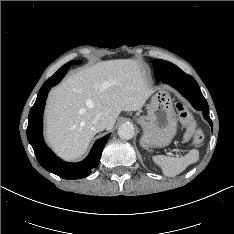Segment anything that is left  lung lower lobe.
Masks as SVG:
<instances>
[{
  "mask_svg": "<svg viewBox=\"0 0 234 234\" xmlns=\"http://www.w3.org/2000/svg\"><path fill=\"white\" fill-rule=\"evenodd\" d=\"M162 81L176 88L187 100L191 102L196 110H202L204 118L212 126L207 101L192 76L183 72L179 75L165 77Z\"/></svg>",
  "mask_w": 234,
  "mask_h": 234,
  "instance_id": "0a47b994",
  "label": "left lung lower lobe"
}]
</instances>
